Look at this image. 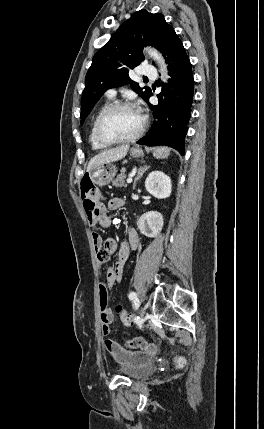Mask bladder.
Here are the masks:
<instances>
[{
  "label": "bladder",
  "instance_id": "31cf9c89",
  "mask_svg": "<svg viewBox=\"0 0 264 429\" xmlns=\"http://www.w3.org/2000/svg\"><path fill=\"white\" fill-rule=\"evenodd\" d=\"M157 367L153 361H146L136 365H128L121 368L120 373L132 380H140L155 373Z\"/></svg>",
  "mask_w": 264,
  "mask_h": 429
}]
</instances>
